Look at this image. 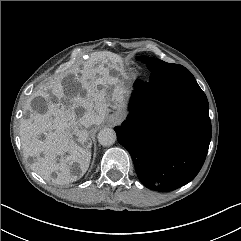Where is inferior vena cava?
Here are the masks:
<instances>
[{
    "instance_id": "inferior-vena-cava-1",
    "label": "inferior vena cava",
    "mask_w": 241,
    "mask_h": 241,
    "mask_svg": "<svg viewBox=\"0 0 241 241\" xmlns=\"http://www.w3.org/2000/svg\"><path fill=\"white\" fill-rule=\"evenodd\" d=\"M79 122H80L81 125H83L84 127L88 128V127H90L91 125H93L95 123V115L92 112L87 111L79 119Z\"/></svg>"
}]
</instances>
